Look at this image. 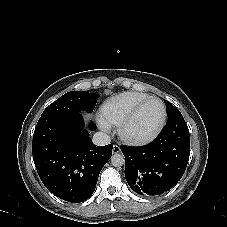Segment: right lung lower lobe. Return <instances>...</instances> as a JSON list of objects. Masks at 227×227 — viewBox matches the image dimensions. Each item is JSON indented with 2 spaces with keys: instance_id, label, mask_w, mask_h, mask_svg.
I'll list each match as a JSON object with an SVG mask.
<instances>
[{
  "instance_id": "right-lung-lower-lobe-1",
  "label": "right lung lower lobe",
  "mask_w": 227,
  "mask_h": 227,
  "mask_svg": "<svg viewBox=\"0 0 227 227\" xmlns=\"http://www.w3.org/2000/svg\"><path fill=\"white\" fill-rule=\"evenodd\" d=\"M89 128L96 129L94 122ZM112 149L113 144L92 143L80 113L41 116L32 142L41 181L55 196L71 203L83 202L93 194Z\"/></svg>"
}]
</instances>
